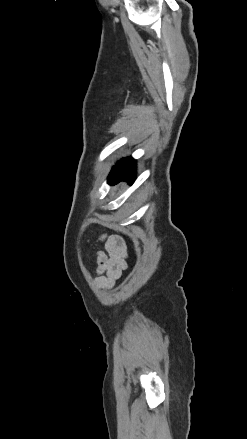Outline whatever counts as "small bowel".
Segmentation results:
<instances>
[{"mask_svg":"<svg viewBox=\"0 0 247 439\" xmlns=\"http://www.w3.org/2000/svg\"><path fill=\"white\" fill-rule=\"evenodd\" d=\"M106 250L96 253V281L103 288L112 287L127 268V249L124 240L119 236H103Z\"/></svg>","mask_w":247,"mask_h":439,"instance_id":"obj_1","label":"small bowel"}]
</instances>
